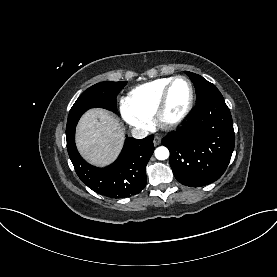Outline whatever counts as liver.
Returning a JSON list of instances; mask_svg holds the SVG:
<instances>
[{"instance_id":"obj_1","label":"liver","mask_w":277,"mask_h":277,"mask_svg":"<svg viewBox=\"0 0 277 277\" xmlns=\"http://www.w3.org/2000/svg\"><path fill=\"white\" fill-rule=\"evenodd\" d=\"M124 142L121 124L103 109L87 111L76 130V145L80 154L91 164L107 166L118 156Z\"/></svg>"}]
</instances>
